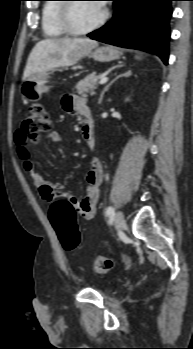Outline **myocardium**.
<instances>
[{"mask_svg":"<svg viewBox=\"0 0 193 349\" xmlns=\"http://www.w3.org/2000/svg\"><path fill=\"white\" fill-rule=\"evenodd\" d=\"M66 1H75V0H66ZM75 2H65L60 5L58 13V23L61 29L68 35L72 36H81L88 33H91L100 27H102L109 17V13L106 9L103 10L101 17L91 26L84 29H76L71 20V9L74 6Z\"/></svg>","mask_w":193,"mask_h":349,"instance_id":"obj_1","label":"myocardium"}]
</instances>
